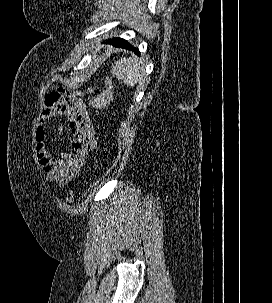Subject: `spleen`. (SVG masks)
<instances>
[{"label": "spleen", "instance_id": "spleen-1", "mask_svg": "<svg viewBox=\"0 0 272 303\" xmlns=\"http://www.w3.org/2000/svg\"><path fill=\"white\" fill-rule=\"evenodd\" d=\"M111 72L113 77L131 87L144 77V67L137 58H121L113 64Z\"/></svg>", "mask_w": 272, "mask_h": 303}]
</instances>
